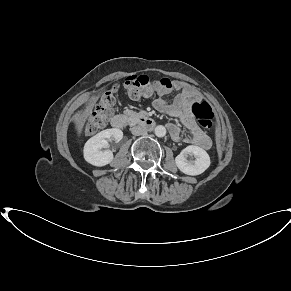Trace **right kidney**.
<instances>
[{"mask_svg": "<svg viewBox=\"0 0 291 291\" xmlns=\"http://www.w3.org/2000/svg\"><path fill=\"white\" fill-rule=\"evenodd\" d=\"M123 138V132L118 128L106 129L92 138H90L84 146V159L91 165L102 167L112 162L114 156L109 147L108 140L116 143Z\"/></svg>", "mask_w": 291, "mask_h": 291, "instance_id": "right-kidney-1", "label": "right kidney"}]
</instances>
